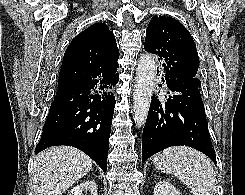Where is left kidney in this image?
Here are the masks:
<instances>
[{
	"mask_svg": "<svg viewBox=\"0 0 245 195\" xmlns=\"http://www.w3.org/2000/svg\"><path fill=\"white\" fill-rule=\"evenodd\" d=\"M153 195H182L174 186L166 181H159L154 188Z\"/></svg>",
	"mask_w": 245,
	"mask_h": 195,
	"instance_id": "obj_1",
	"label": "left kidney"
}]
</instances>
